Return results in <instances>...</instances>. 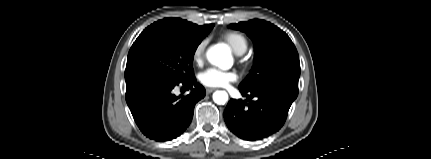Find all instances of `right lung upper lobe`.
I'll list each match as a JSON object with an SVG mask.
<instances>
[{
  "mask_svg": "<svg viewBox=\"0 0 431 159\" xmlns=\"http://www.w3.org/2000/svg\"><path fill=\"white\" fill-rule=\"evenodd\" d=\"M154 24L164 25L173 29H177L194 37L207 35L212 30V27L214 25L207 24L203 26H198L180 18H165L155 22Z\"/></svg>",
  "mask_w": 431,
  "mask_h": 159,
  "instance_id": "right-lung-upper-lobe-1",
  "label": "right lung upper lobe"
}]
</instances>
